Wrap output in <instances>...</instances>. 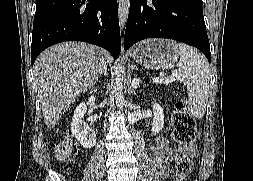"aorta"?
Returning <instances> with one entry per match:
<instances>
[{
    "label": "aorta",
    "mask_w": 253,
    "mask_h": 181,
    "mask_svg": "<svg viewBox=\"0 0 253 181\" xmlns=\"http://www.w3.org/2000/svg\"><path fill=\"white\" fill-rule=\"evenodd\" d=\"M130 10V0H118V19H119V27L121 35L125 31L128 15ZM125 68L122 64L120 58L118 59L115 67V86H114V96L116 100V104L118 107H123L125 100L123 96V73Z\"/></svg>",
    "instance_id": "obj_1"
}]
</instances>
